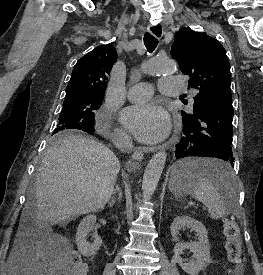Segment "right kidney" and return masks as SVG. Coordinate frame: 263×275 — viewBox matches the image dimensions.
<instances>
[{
	"mask_svg": "<svg viewBox=\"0 0 263 275\" xmlns=\"http://www.w3.org/2000/svg\"><path fill=\"white\" fill-rule=\"evenodd\" d=\"M96 224V216L88 215L79 224L76 232V243L78 250L85 257H90L96 254L99 250L102 239L97 233L92 234L93 243L87 242V236L94 231Z\"/></svg>",
	"mask_w": 263,
	"mask_h": 275,
	"instance_id": "ca27d5eb",
	"label": "right kidney"
}]
</instances>
